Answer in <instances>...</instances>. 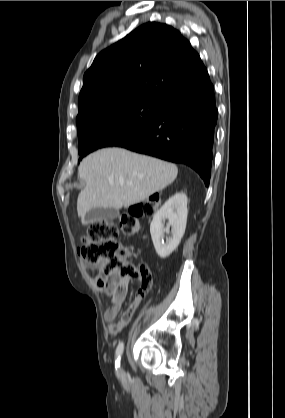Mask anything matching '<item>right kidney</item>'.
Returning <instances> with one entry per match:
<instances>
[{
  "mask_svg": "<svg viewBox=\"0 0 285 418\" xmlns=\"http://www.w3.org/2000/svg\"><path fill=\"white\" fill-rule=\"evenodd\" d=\"M187 214V196L184 193H176L154 215L150 224V233L159 257H168L178 247L185 233ZM165 219H168L172 227V236L163 243L161 240L167 231L164 228Z\"/></svg>",
  "mask_w": 285,
  "mask_h": 418,
  "instance_id": "obj_1",
  "label": "right kidney"
}]
</instances>
